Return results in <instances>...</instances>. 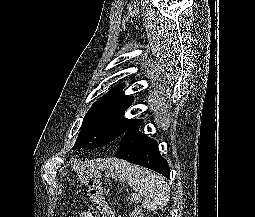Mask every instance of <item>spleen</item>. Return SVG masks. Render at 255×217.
Segmentation results:
<instances>
[{"instance_id":"obj_1","label":"spleen","mask_w":255,"mask_h":217,"mask_svg":"<svg viewBox=\"0 0 255 217\" xmlns=\"http://www.w3.org/2000/svg\"><path fill=\"white\" fill-rule=\"evenodd\" d=\"M110 170L115 178L126 180L134 191L143 194L142 206L145 209L155 211L163 208L168 203L170 188L160 175L146 168L119 160L112 163Z\"/></svg>"}]
</instances>
